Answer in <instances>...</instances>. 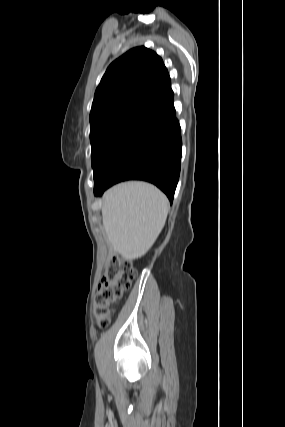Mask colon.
Returning a JSON list of instances; mask_svg holds the SVG:
<instances>
[{
	"label": "colon",
	"mask_w": 285,
	"mask_h": 427,
	"mask_svg": "<svg viewBox=\"0 0 285 427\" xmlns=\"http://www.w3.org/2000/svg\"><path fill=\"white\" fill-rule=\"evenodd\" d=\"M135 276L136 271L129 262H109L94 297L93 315L98 327L108 326L112 306L130 288Z\"/></svg>",
	"instance_id": "1"
}]
</instances>
